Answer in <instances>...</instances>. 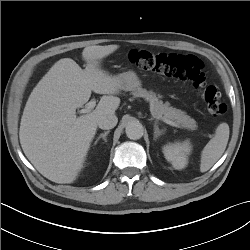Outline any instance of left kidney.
I'll list each match as a JSON object with an SVG mask.
<instances>
[{
    "mask_svg": "<svg viewBox=\"0 0 250 250\" xmlns=\"http://www.w3.org/2000/svg\"><path fill=\"white\" fill-rule=\"evenodd\" d=\"M163 154L175 169H183L188 164V155L192 147L189 141L169 143L163 146Z\"/></svg>",
    "mask_w": 250,
    "mask_h": 250,
    "instance_id": "obj_1",
    "label": "left kidney"
}]
</instances>
